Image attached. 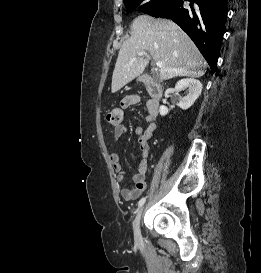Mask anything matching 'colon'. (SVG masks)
<instances>
[{"instance_id": "obj_1", "label": "colon", "mask_w": 261, "mask_h": 273, "mask_svg": "<svg viewBox=\"0 0 261 273\" xmlns=\"http://www.w3.org/2000/svg\"><path fill=\"white\" fill-rule=\"evenodd\" d=\"M107 122L113 126H118L122 123L123 112L119 108L112 109L107 113Z\"/></svg>"}]
</instances>
